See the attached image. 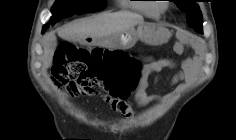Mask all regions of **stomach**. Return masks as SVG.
<instances>
[{
	"label": "stomach",
	"instance_id": "stomach-1",
	"mask_svg": "<svg viewBox=\"0 0 236 140\" xmlns=\"http://www.w3.org/2000/svg\"><path fill=\"white\" fill-rule=\"evenodd\" d=\"M170 35V31L161 24L143 22L138 25L137 30L131 28L123 33L112 31V36L93 42L110 48L127 49L132 47L138 39L148 44L160 45L167 42Z\"/></svg>",
	"mask_w": 236,
	"mask_h": 140
}]
</instances>
